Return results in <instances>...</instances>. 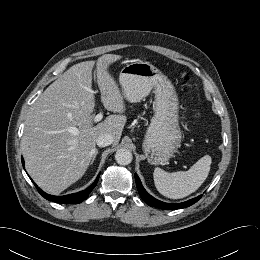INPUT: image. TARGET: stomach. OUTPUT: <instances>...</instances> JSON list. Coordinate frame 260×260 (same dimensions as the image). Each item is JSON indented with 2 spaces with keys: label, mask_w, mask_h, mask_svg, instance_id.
Listing matches in <instances>:
<instances>
[{
  "label": "stomach",
  "mask_w": 260,
  "mask_h": 260,
  "mask_svg": "<svg viewBox=\"0 0 260 260\" xmlns=\"http://www.w3.org/2000/svg\"><path fill=\"white\" fill-rule=\"evenodd\" d=\"M123 96L140 102L155 92V113L147 129L143 151L153 164H164L180 147L182 134L178 123L179 100L172 82L149 62L127 64L120 72Z\"/></svg>",
  "instance_id": "obj_1"
}]
</instances>
